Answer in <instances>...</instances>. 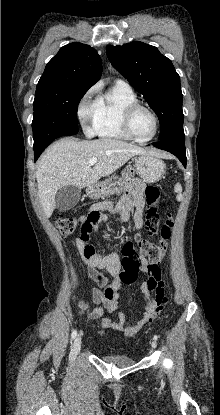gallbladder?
Returning a JSON list of instances; mask_svg holds the SVG:
<instances>
[{
	"mask_svg": "<svg viewBox=\"0 0 220 415\" xmlns=\"http://www.w3.org/2000/svg\"><path fill=\"white\" fill-rule=\"evenodd\" d=\"M81 197V189L68 185L60 188L55 196L56 208L66 211L73 208Z\"/></svg>",
	"mask_w": 220,
	"mask_h": 415,
	"instance_id": "1",
	"label": "gallbladder"
}]
</instances>
